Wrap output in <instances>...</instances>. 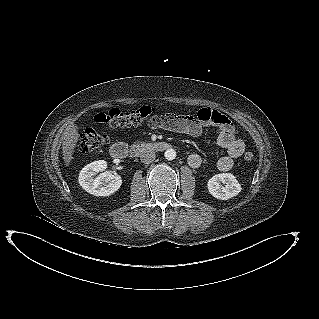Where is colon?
Returning a JSON list of instances; mask_svg holds the SVG:
<instances>
[{
  "label": "colon",
  "mask_w": 319,
  "mask_h": 319,
  "mask_svg": "<svg viewBox=\"0 0 319 319\" xmlns=\"http://www.w3.org/2000/svg\"><path fill=\"white\" fill-rule=\"evenodd\" d=\"M156 109L151 106H143L132 111H121L111 109L106 113L99 114L102 122L113 127H130L140 125L151 119ZM108 142L106 134L99 133L92 129H87L79 136L78 149L82 153H89L105 146ZM246 162L254 160V153L247 151L243 156Z\"/></svg>",
  "instance_id": "1"
}]
</instances>
